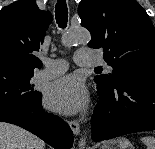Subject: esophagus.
<instances>
[{"mask_svg":"<svg viewBox=\"0 0 155 149\" xmlns=\"http://www.w3.org/2000/svg\"><path fill=\"white\" fill-rule=\"evenodd\" d=\"M68 124H69L71 130L73 131V133H74L75 135H78L79 132H80V125H79V122L76 121V120H70V121H68Z\"/></svg>","mask_w":155,"mask_h":149,"instance_id":"obj_1","label":"esophagus"}]
</instances>
